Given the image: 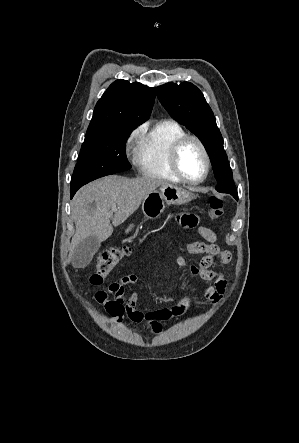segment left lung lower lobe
I'll return each mask as SVG.
<instances>
[{
	"mask_svg": "<svg viewBox=\"0 0 299 443\" xmlns=\"http://www.w3.org/2000/svg\"><path fill=\"white\" fill-rule=\"evenodd\" d=\"M231 195H233V197H234L236 200H238V193H233V194H231Z\"/></svg>",
	"mask_w": 299,
	"mask_h": 443,
	"instance_id": "left-lung-lower-lobe-1",
	"label": "left lung lower lobe"
}]
</instances>
